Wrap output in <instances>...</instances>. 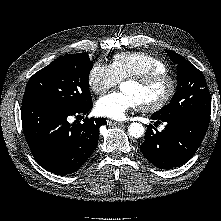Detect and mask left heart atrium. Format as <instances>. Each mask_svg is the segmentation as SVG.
Listing matches in <instances>:
<instances>
[{"instance_id": "obj_1", "label": "left heart atrium", "mask_w": 221, "mask_h": 221, "mask_svg": "<svg viewBox=\"0 0 221 221\" xmlns=\"http://www.w3.org/2000/svg\"><path fill=\"white\" fill-rule=\"evenodd\" d=\"M138 106L133 96L126 92H113L98 99L96 112L100 116L122 120L127 113Z\"/></svg>"}]
</instances>
